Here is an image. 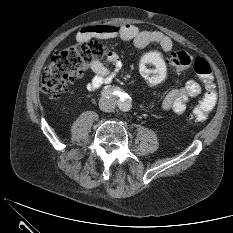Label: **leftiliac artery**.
I'll return each mask as SVG.
<instances>
[{
    "instance_id": "left-iliac-artery-1",
    "label": "left iliac artery",
    "mask_w": 233,
    "mask_h": 233,
    "mask_svg": "<svg viewBox=\"0 0 233 233\" xmlns=\"http://www.w3.org/2000/svg\"><path fill=\"white\" fill-rule=\"evenodd\" d=\"M130 97L127 96L126 101L122 103L121 108L125 111L129 110L130 108Z\"/></svg>"
}]
</instances>
